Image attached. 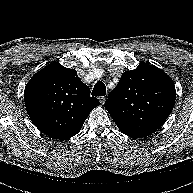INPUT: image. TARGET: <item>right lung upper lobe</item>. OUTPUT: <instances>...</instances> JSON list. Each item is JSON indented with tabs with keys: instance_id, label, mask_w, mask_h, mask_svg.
I'll return each instance as SVG.
<instances>
[{
	"instance_id": "obj_1",
	"label": "right lung upper lobe",
	"mask_w": 193,
	"mask_h": 193,
	"mask_svg": "<svg viewBox=\"0 0 193 193\" xmlns=\"http://www.w3.org/2000/svg\"><path fill=\"white\" fill-rule=\"evenodd\" d=\"M27 113L34 125L54 139L76 135L100 102L74 69L54 62L38 71L24 91Z\"/></svg>"
}]
</instances>
